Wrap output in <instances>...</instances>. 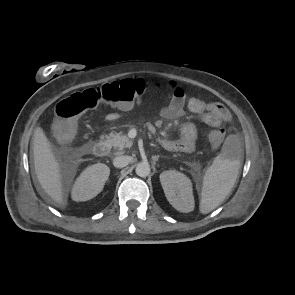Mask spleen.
<instances>
[{"instance_id":"1","label":"spleen","mask_w":295,"mask_h":295,"mask_svg":"<svg viewBox=\"0 0 295 295\" xmlns=\"http://www.w3.org/2000/svg\"><path fill=\"white\" fill-rule=\"evenodd\" d=\"M235 151H237L236 138L229 135L221 153L204 174L199 205L202 214H207L218 207L231 191L240 169V161L233 155Z\"/></svg>"}]
</instances>
